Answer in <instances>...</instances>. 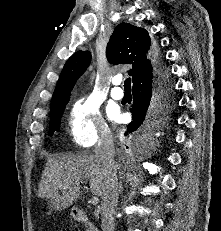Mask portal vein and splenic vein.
I'll return each instance as SVG.
<instances>
[{
    "label": "portal vein and splenic vein",
    "mask_w": 221,
    "mask_h": 231,
    "mask_svg": "<svg viewBox=\"0 0 221 231\" xmlns=\"http://www.w3.org/2000/svg\"><path fill=\"white\" fill-rule=\"evenodd\" d=\"M98 202H99V198L98 197L94 196V197L91 198V204L92 205H97Z\"/></svg>",
    "instance_id": "obj_1"
}]
</instances>
